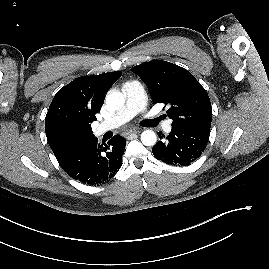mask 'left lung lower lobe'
Returning <instances> with one entry per match:
<instances>
[{
    "label": "left lung lower lobe",
    "mask_w": 269,
    "mask_h": 269,
    "mask_svg": "<svg viewBox=\"0 0 269 269\" xmlns=\"http://www.w3.org/2000/svg\"><path fill=\"white\" fill-rule=\"evenodd\" d=\"M159 137L161 132L158 133ZM210 136V128H172L166 140L152 149L156 159L173 166H187L201 156Z\"/></svg>",
    "instance_id": "1"
}]
</instances>
